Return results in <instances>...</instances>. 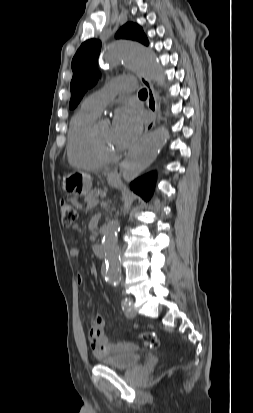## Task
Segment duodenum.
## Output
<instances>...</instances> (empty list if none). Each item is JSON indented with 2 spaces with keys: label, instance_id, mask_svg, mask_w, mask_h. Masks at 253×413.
I'll use <instances>...</instances> for the list:
<instances>
[{
  "label": "duodenum",
  "instance_id": "410a0bca",
  "mask_svg": "<svg viewBox=\"0 0 253 413\" xmlns=\"http://www.w3.org/2000/svg\"><path fill=\"white\" fill-rule=\"evenodd\" d=\"M93 252H94V254H95L97 257H99V258L104 257L105 251H104L103 245L100 244V243L95 244V245L93 246Z\"/></svg>",
  "mask_w": 253,
  "mask_h": 413
}]
</instances>
